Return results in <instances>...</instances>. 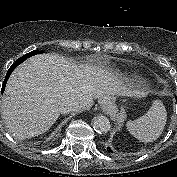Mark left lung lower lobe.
I'll use <instances>...</instances> for the list:
<instances>
[{
  "mask_svg": "<svg viewBox=\"0 0 177 177\" xmlns=\"http://www.w3.org/2000/svg\"><path fill=\"white\" fill-rule=\"evenodd\" d=\"M176 99H177V98H176ZM107 149H108L109 152H112L109 147H108Z\"/></svg>",
  "mask_w": 177,
  "mask_h": 177,
  "instance_id": "0a47b994",
  "label": "left lung lower lobe"
}]
</instances>
